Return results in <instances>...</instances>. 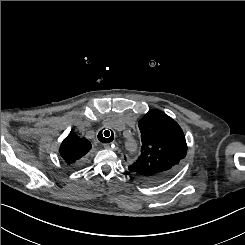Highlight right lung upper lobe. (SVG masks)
I'll return each mask as SVG.
<instances>
[{
  "instance_id": "cb5924a9",
  "label": "right lung upper lobe",
  "mask_w": 245,
  "mask_h": 245,
  "mask_svg": "<svg viewBox=\"0 0 245 245\" xmlns=\"http://www.w3.org/2000/svg\"><path fill=\"white\" fill-rule=\"evenodd\" d=\"M91 143L86 138H80L70 133L62 142L59 152L68 165L79 164L91 149Z\"/></svg>"
}]
</instances>
